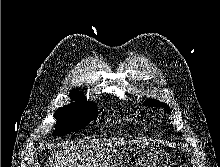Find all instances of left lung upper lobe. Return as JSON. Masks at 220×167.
<instances>
[{"instance_id":"obj_1","label":"left lung upper lobe","mask_w":220,"mask_h":167,"mask_svg":"<svg viewBox=\"0 0 220 167\" xmlns=\"http://www.w3.org/2000/svg\"><path fill=\"white\" fill-rule=\"evenodd\" d=\"M144 104L147 106H152V107H154V106L155 107H163V108L167 109L168 113L170 112V107L167 104L160 102L158 100H155V99L146 100L144 102Z\"/></svg>"}]
</instances>
